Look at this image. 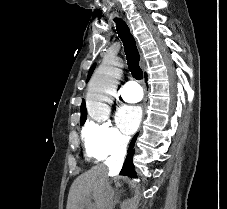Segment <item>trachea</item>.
Wrapping results in <instances>:
<instances>
[{
	"mask_svg": "<svg viewBox=\"0 0 227 209\" xmlns=\"http://www.w3.org/2000/svg\"><path fill=\"white\" fill-rule=\"evenodd\" d=\"M117 34L123 42L124 51L127 58L128 69L136 80H141L143 72L139 67V52L137 50L135 39L129 30V27L122 18L115 17Z\"/></svg>",
	"mask_w": 227,
	"mask_h": 209,
	"instance_id": "obj_1",
	"label": "trachea"
}]
</instances>
